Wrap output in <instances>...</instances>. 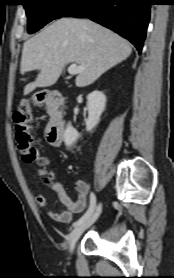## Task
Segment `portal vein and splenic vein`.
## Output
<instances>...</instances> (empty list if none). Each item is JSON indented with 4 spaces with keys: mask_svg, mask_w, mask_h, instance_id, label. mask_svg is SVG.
<instances>
[{
    "mask_svg": "<svg viewBox=\"0 0 174 278\" xmlns=\"http://www.w3.org/2000/svg\"><path fill=\"white\" fill-rule=\"evenodd\" d=\"M85 70V67L84 66H80V65H77L75 63L71 64L69 67H68V72L70 74H79L81 72H83Z\"/></svg>",
    "mask_w": 174,
    "mask_h": 278,
    "instance_id": "obj_1",
    "label": "portal vein and splenic vein"
}]
</instances>
